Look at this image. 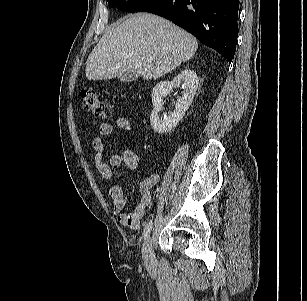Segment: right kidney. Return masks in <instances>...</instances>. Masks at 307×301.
<instances>
[{
  "mask_svg": "<svg viewBox=\"0 0 307 301\" xmlns=\"http://www.w3.org/2000/svg\"><path fill=\"white\" fill-rule=\"evenodd\" d=\"M182 84L183 95L177 100L175 110L166 119H159L158 113L163 105L165 97L174 87ZM198 87V77L195 71L184 69L172 81H161L153 88L152 103L153 110L150 115V122L156 133L164 134L174 129L183 118L191 105Z\"/></svg>",
  "mask_w": 307,
  "mask_h": 301,
  "instance_id": "obj_1",
  "label": "right kidney"
}]
</instances>
